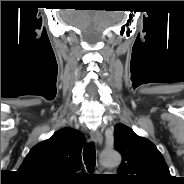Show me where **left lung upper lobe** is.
I'll list each match as a JSON object with an SVG mask.
<instances>
[{
	"mask_svg": "<svg viewBox=\"0 0 184 184\" xmlns=\"http://www.w3.org/2000/svg\"><path fill=\"white\" fill-rule=\"evenodd\" d=\"M114 148L122 156L115 175L121 183L171 184L173 178L159 150L131 128L123 124L115 126Z\"/></svg>",
	"mask_w": 184,
	"mask_h": 184,
	"instance_id": "5c2ea615",
	"label": "left lung upper lobe"
}]
</instances>
